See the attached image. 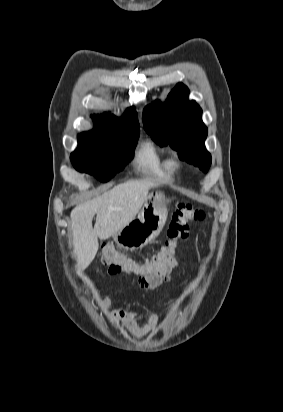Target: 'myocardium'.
I'll list each match as a JSON object with an SVG mask.
<instances>
[{
    "label": "myocardium",
    "instance_id": "myocardium-1",
    "mask_svg": "<svg viewBox=\"0 0 283 412\" xmlns=\"http://www.w3.org/2000/svg\"><path fill=\"white\" fill-rule=\"evenodd\" d=\"M172 165H173L174 168H179L182 165V162H181V160L176 158V159L172 160Z\"/></svg>",
    "mask_w": 283,
    "mask_h": 412
}]
</instances>
